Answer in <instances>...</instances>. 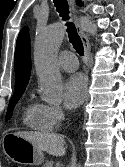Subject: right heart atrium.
Segmentation results:
<instances>
[{
	"label": "right heart atrium",
	"mask_w": 125,
	"mask_h": 167,
	"mask_svg": "<svg viewBox=\"0 0 125 167\" xmlns=\"http://www.w3.org/2000/svg\"><path fill=\"white\" fill-rule=\"evenodd\" d=\"M47 115L54 126L59 125L65 117L63 109L58 105H46Z\"/></svg>",
	"instance_id": "obj_1"
}]
</instances>
